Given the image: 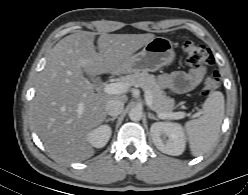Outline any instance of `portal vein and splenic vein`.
I'll return each mask as SVG.
<instances>
[{"mask_svg":"<svg viewBox=\"0 0 248 195\" xmlns=\"http://www.w3.org/2000/svg\"><path fill=\"white\" fill-rule=\"evenodd\" d=\"M130 85L128 83H123V82H117V83H110L106 84L103 87V92L106 94H122L128 91ZM145 93V101L148 107L152 108L153 105V100L151 93L148 90L144 91ZM80 112L82 111V108L79 110ZM158 116L162 119H181L186 116L185 112H173L171 114H164L160 113Z\"/></svg>","mask_w":248,"mask_h":195,"instance_id":"obj_1","label":"portal vein and splenic vein"}]
</instances>
